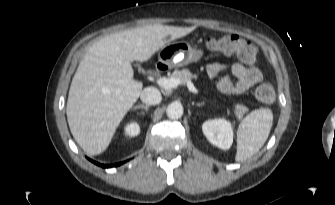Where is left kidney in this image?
I'll return each instance as SVG.
<instances>
[{
    "mask_svg": "<svg viewBox=\"0 0 335 205\" xmlns=\"http://www.w3.org/2000/svg\"><path fill=\"white\" fill-rule=\"evenodd\" d=\"M202 131L208 141L218 148L227 150L233 143V127L226 119L208 120L203 123Z\"/></svg>",
    "mask_w": 335,
    "mask_h": 205,
    "instance_id": "left-kidney-1",
    "label": "left kidney"
}]
</instances>
